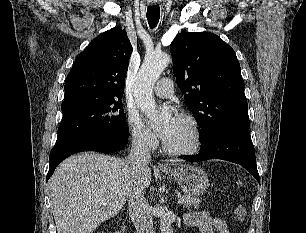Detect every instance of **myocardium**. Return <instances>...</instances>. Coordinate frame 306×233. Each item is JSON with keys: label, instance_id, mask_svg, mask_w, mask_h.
Listing matches in <instances>:
<instances>
[{"label": "myocardium", "instance_id": "obj_1", "mask_svg": "<svg viewBox=\"0 0 306 233\" xmlns=\"http://www.w3.org/2000/svg\"><path fill=\"white\" fill-rule=\"evenodd\" d=\"M179 118L187 121L190 124V126L193 130L194 143H193L192 147H190L188 149H183V150H176V149H172L169 146H167L165 141H163L162 148H163L165 153H167L169 155H173V156H191V155H194V154L199 152V150L201 149V146H202L201 127H200L198 121L190 114L182 113V114H180Z\"/></svg>", "mask_w": 306, "mask_h": 233}]
</instances>
